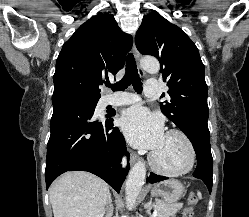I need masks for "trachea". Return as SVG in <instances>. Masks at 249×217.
I'll return each mask as SVG.
<instances>
[{"label":"trachea","mask_w":249,"mask_h":217,"mask_svg":"<svg viewBox=\"0 0 249 217\" xmlns=\"http://www.w3.org/2000/svg\"><path fill=\"white\" fill-rule=\"evenodd\" d=\"M133 85L134 90L138 93H142V82L139 77L138 70L136 67L135 58L132 53H129L126 61V73L124 77L114 85L106 83V86L112 87L113 91L120 90L124 91L129 85Z\"/></svg>","instance_id":"3493384b"}]
</instances>
